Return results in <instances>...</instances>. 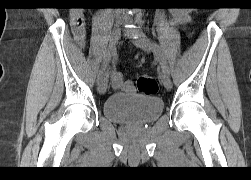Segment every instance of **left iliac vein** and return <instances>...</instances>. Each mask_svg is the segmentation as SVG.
I'll use <instances>...</instances> for the list:
<instances>
[{
    "label": "left iliac vein",
    "mask_w": 251,
    "mask_h": 180,
    "mask_svg": "<svg viewBox=\"0 0 251 180\" xmlns=\"http://www.w3.org/2000/svg\"><path fill=\"white\" fill-rule=\"evenodd\" d=\"M132 41L140 49L146 52L151 51V48H152L151 42L145 34L143 33L138 34V37L133 39ZM160 79H161L162 84L167 90H170L172 88V81L168 74L163 72L160 76Z\"/></svg>",
    "instance_id": "obj_1"
}]
</instances>
